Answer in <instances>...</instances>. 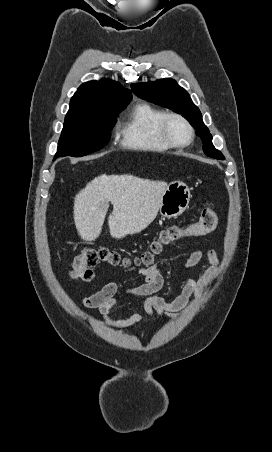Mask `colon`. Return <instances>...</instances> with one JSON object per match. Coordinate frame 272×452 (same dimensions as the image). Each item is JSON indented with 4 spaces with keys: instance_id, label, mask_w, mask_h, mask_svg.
<instances>
[{
    "instance_id": "obj_1",
    "label": "colon",
    "mask_w": 272,
    "mask_h": 452,
    "mask_svg": "<svg viewBox=\"0 0 272 452\" xmlns=\"http://www.w3.org/2000/svg\"><path fill=\"white\" fill-rule=\"evenodd\" d=\"M218 216L212 206L205 207L198 220L187 226L170 225L162 229L156 237L148 242L146 249L138 258V263L149 265L154 256L159 254L163 248L185 236H200L213 231L217 225ZM101 262L112 265L128 264V261L115 251L106 247L91 248L84 247L71 262L70 273L75 279L89 281L93 277L92 268Z\"/></svg>"
}]
</instances>
